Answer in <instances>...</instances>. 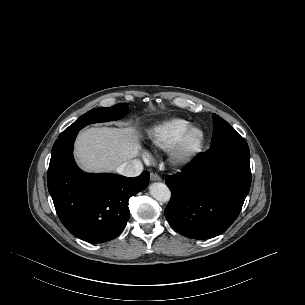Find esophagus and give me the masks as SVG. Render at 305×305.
Returning a JSON list of instances; mask_svg holds the SVG:
<instances>
[{
	"mask_svg": "<svg viewBox=\"0 0 305 305\" xmlns=\"http://www.w3.org/2000/svg\"><path fill=\"white\" fill-rule=\"evenodd\" d=\"M150 180L151 181H161V177L156 173H151L150 174Z\"/></svg>",
	"mask_w": 305,
	"mask_h": 305,
	"instance_id": "34e87169",
	"label": "esophagus"
}]
</instances>
